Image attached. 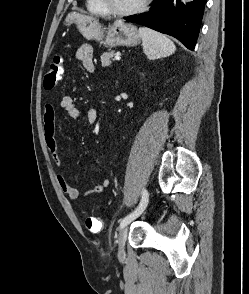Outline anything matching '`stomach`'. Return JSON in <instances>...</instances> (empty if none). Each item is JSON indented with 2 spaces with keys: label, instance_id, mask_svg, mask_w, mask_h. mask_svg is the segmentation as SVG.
I'll return each mask as SVG.
<instances>
[{
  "label": "stomach",
  "instance_id": "0dacf381",
  "mask_svg": "<svg viewBox=\"0 0 249 294\" xmlns=\"http://www.w3.org/2000/svg\"><path fill=\"white\" fill-rule=\"evenodd\" d=\"M65 24H76L86 39L101 42L108 47L135 46L141 38L136 26L121 20H116L106 28L94 17L72 12L67 15Z\"/></svg>",
  "mask_w": 249,
  "mask_h": 294
}]
</instances>
